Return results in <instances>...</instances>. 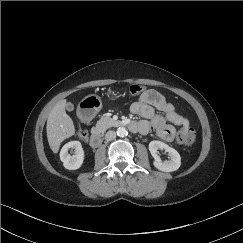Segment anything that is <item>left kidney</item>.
I'll use <instances>...</instances> for the list:
<instances>
[{"instance_id":"1","label":"left kidney","mask_w":243,"mask_h":243,"mask_svg":"<svg viewBox=\"0 0 243 243\" xmlns=\"http://www.w3.org/2000/svg\"><path fill=\"white\" fill-rule=\"evenodd\" d=\"M165 150L168 152L169 161L162 162L160 156L158 155V150ZM149 151L154 158L153 165L160 171L173 172L179 169L181 165L180 154L172 147L168 146L161 141H151L149 143Z\"/></svg>"}]
</instances>
